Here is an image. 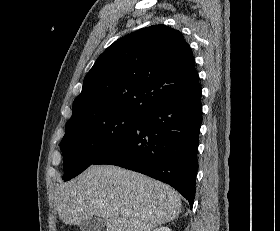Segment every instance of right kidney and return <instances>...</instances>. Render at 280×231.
<instances>
[{
	"mask_svg": "<svg viewBox=\"0 0 280 231\" xmlns=\"http://www.w3.org/2000/svg\"><path fill=\"white\" fill-rule=\"evenodd\" d=\"M153 231H171L170 227H156Z\"/></svg>",
	"mask_w": 280,
	"mask_h": 231,
	"instance_id": "ca27d5eb",
	"label": "right kidney"
}]
</instances>
